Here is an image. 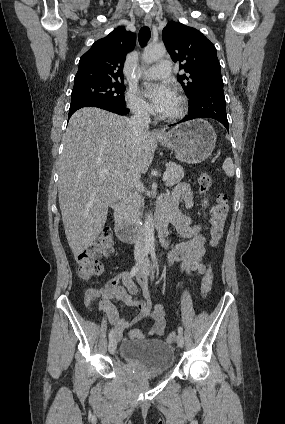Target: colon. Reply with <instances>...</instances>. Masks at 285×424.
Masks as SVG:
<instances>
[{"mask_svg":"<svg viewBox=\"0 0 285 424\" xmlns=\"http://www.w3.org/2000/svg\"><path fill=\"white\" fill-rule=\"evenodd\" d=\"M212 183V177L209 173L202 174L198 179V190L207 203V195L209 193ZM229 205L228 197L224 193H219L215 198V203L211 209L210 224L207 228L211 235L212 245H216L220 240L225 220L228 215ZM113 235L109 227H105L99 234L95 250L83 251L76 255V262L78 266V274L82 280H91L102 272L103 265L100 257L108 255L113 249ZM213 270L209 266L203 278V296L206 297L212 287ZM130 337L133 339L140 338L141 335L137 331H132ZM176 334L174 332L167 336L168 342L175 340Z\"/></svg>","mask_w":285,"mask_h":424,"instance_id":"obj_1","label":"colon"}]
</instances>
